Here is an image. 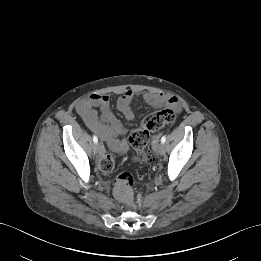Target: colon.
Wrapping results in <instances>:
<instances>
[{"mask_svg": "<svg viewBox=\"0 0 261 261\" xmlns=\"http://www.w3.org/2000/svg\"><path fill=\"white\" fill-rule=\"evenodd\" d=\"M175 119V111L170 108H166L160 111H155L148 114L141 122L139 128L133 130L128 141L130 145L135 149L138 155L147 163L154 161V155L149 148V140L152 132L157 131L172 123ZM115 166V160L112 153H105L99 162L100 171L103 174L110 173ZM114 193L116 197L124 202L126 205H132L134 200L133 193V178L130 173L123 172L118 175Z\"/></svg>", "mask_w": 261, "mask_h": 261, "instance_id": "colon-1", "label": "colon"}]
</instances>
